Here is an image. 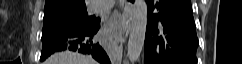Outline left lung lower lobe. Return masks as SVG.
Masks as SVG:
<instances>
[{
    "mask_svg": "<svg viewBox=\"0 0 242 64\" xmlns=\"http://www.w3.org/2000/svg\"><path fill=\"white\" fill-rule=\"evenodd\" d=\"M148 0L144 64H197L191 0ZM156 9L158 13L153 14Z\"/></svg>",
    "mask_w": 242,
    "mask_h": 64,
    "instance_id": "left-lung-lower-lobe-1",
    "label": "left lung lower lobe"
}]
</instances>
